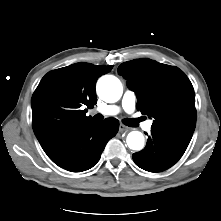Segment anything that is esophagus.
Wrapping results in <instances>:
<instances>
[{"instance_id":"esophagus-1","label":"esophagus","mask_w":221,"mask_h":221,"mask_svg":"<svg viewBox=\"0 0 221 221\" xmlns=\"http://www.w3.org/2000/svg\"><path fill=\"white\" fill-rule=\"evenodd\" d=\"M119 131H120V132H127V131H129V128L126 127V126L123 125V124H120V126H119Z\"/></svg>"}]
</instances>
